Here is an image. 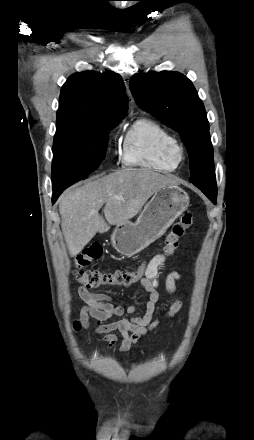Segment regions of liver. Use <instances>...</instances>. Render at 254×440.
<instances>
[{
    "instance_id": "1",
    "label": "liver",
    "mask_w": 254,
    "mask_h": 440,
    "mask_svg": "<svg viewBox=\"0 0 254 440\" xmlns=\"http://www.w3.org/2000/svg\"><path fill=\"white\" fill-rule=\"evenodd\" d=\"M176 184L172 177L149 169L126 168L66 190L59 198V207L71 257L80 253L97 232L104 233L110 225L124 224L136 216L159 188ZM104 204L105 219L99 214Z\"/></svg>"
}]
</instances>
